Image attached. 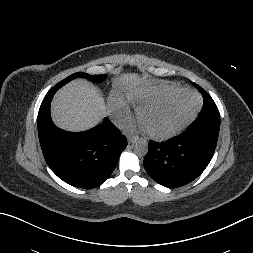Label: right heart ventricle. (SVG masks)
Segmentation results:
<instances>
[{
    "label": "right heart ventricle",
    "instance_id": "right-heart-ventricle-1",
    "mask_svg": "<svg viewBox=\"0 0 253 253\" xmlns=\"http://www.w3.org/2000/svg\"><path fill=\"white\" fill-rule=\"evenodd\" d=\"M177 89H179V86L176 84L144 86L131 90L127 97L133 105L140 108L143 105L156 101Z\"/></svg>",
    "mask_w": 253,
    "mask_h": 253
}]
</instances>
